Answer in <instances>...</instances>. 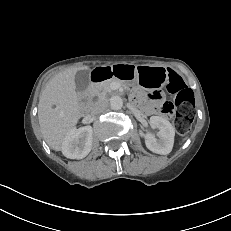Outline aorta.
Instances as JSON below:
<instances>
[{"label":"aorta","instance_id":"1","mask_svg":"<svg viewBox=\"0 0 231 231\" xmlns=\"http://www.w3.org/2000/svg\"><path fill=\"white\" fill-rule=\"evenodd\" d=\"M110 107L113 110H120L123 107V99L120 96H112L110 98Z\"/></svg>","mask_w":231,"mask_h":231}]
</instances>
